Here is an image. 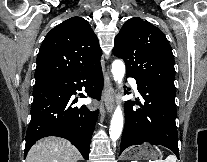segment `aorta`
<instances>
[{
  "label": "aorta",
  "mask_w": 207,
  "mask_h": 162,
  "mask_svg": "<svg viewBox=\"0 0 207 162\" xmlns=\"http://www.w3.org/2000/svg\"><path fill=\"white\" fill-rule=\"evenodd\" d=\"M112 74L114 80L121 84L122 80L125 75V64L121 60H115L112 63ZM123 128V112L120 106H117L115 109L111 123H110V130L109 135L112 141H117L122 133Z\"/></svg>",
  "instance_id": "1"
}]
</instances>
